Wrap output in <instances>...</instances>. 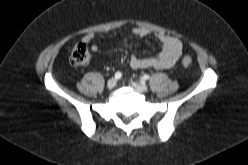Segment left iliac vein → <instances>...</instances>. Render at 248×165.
I'll return each mask as SVG.
<instances>
[{
    "instance_id": "4c4485c4",
    "label": "left iliac vein",
    "mask_w": 248,
    "mask_h": 165,
    "mask_svg": "<svg viewBox=\"0 0 248 165\" xmlns=\"http://www.w3.org/2000/svg\"><path fill=\"white\" fill-rule=\"evenodd\" d=\"M131 85L140 92H146L148 90L147 85H145L144 83L134 81V82H131Z\"/></svg>"
}]
</instances>
